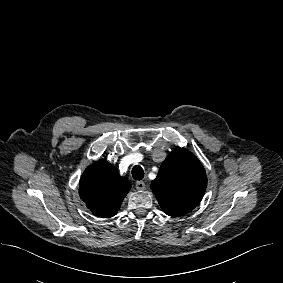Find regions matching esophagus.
Masks as SVG:
<instances>
[{
  "mask_svg": "<svg viewBox=\"0 0 283 283\" xmlns=\"http://www.w3.org/2000/svg\"><path fill=\"white\" fill-rule=\"evenodd\" d=\"M135 185L137 190L145 189V183L143 181H137Z\"/></svg>",
  "mask_w": 283,
  "mask_h": 283,
  "instance_id": "1",
  "label": "esophagus"
}]
</instances>
